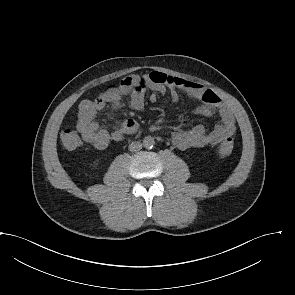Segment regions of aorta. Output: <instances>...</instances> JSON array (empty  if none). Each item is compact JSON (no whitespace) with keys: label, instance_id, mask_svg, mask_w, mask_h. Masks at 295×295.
Masks as SVG:
<instances>
[{"label":"aorta","instance_id":"762f6f07","mask_svg":"<svg viewBox=\"0 0 295 295\" xmlns=\"http://www.w3.org/2000/svg\"><path fill=\"white\" fill-rule=\"evenodd\" d=\"M155 144L154 138L151 136H147L143 139V146L145 148H152Z\"/></svg>","mask_w":295,"mask_h":295}]
</instances>
